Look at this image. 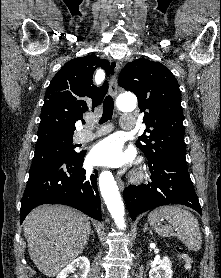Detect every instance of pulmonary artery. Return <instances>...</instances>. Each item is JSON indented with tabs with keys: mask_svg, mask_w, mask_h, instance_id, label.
<instances>
[{
	"mask_svg": "<svg viewBox=\"0 0 221 278\" xmlns=\"http://www.w3.org/2000/svg\"><path fill=\"white\" fill-rule=\"evenodd\" d=\"M122 127L125 129H131L134 126L135 118L132 115H124L121 120ZM111 130L110 127H102L96 130H91L89 127L83 129L77 134L78 142H87L94 139L97 136L103 135Z\"/></svg>",
	"mask_w": 221,
	"mask_h": 278,
	"instance_id": "obj_1",
	"label": "pulmonary artery"
}]
</instances>
